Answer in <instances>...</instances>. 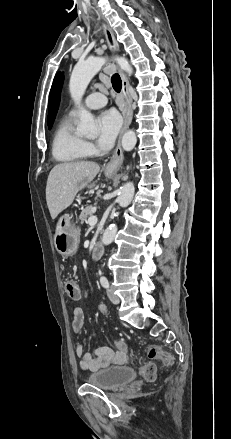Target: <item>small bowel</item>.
Returning <instances> with one entry per match:
<instances>
[{
  "label": "small bowel",
  "instance_id": "obj_1",
  "mask_svg": "<svg viewBox=\"0 0 231 439\" xmlns=\"http://www.w3.org/2000/svg\"><path fill=\"white\" fill-rule=\"evenodd\" d=\"M79 300L80 298H72ZM100 312L106 311L105 304H99ZM84 324V312L81 307L75 306L72 309V328L79 333ZM116 351L109 347H98L93 352H86L83 345L77 344L75 353L80 358L79 367L82 371H97L110 365H123L127 361V345L124 341L118 340L115 343Z\"/></svg>",
  "mask_w": 231,
  "mask_h": 439
}]
</instances>
